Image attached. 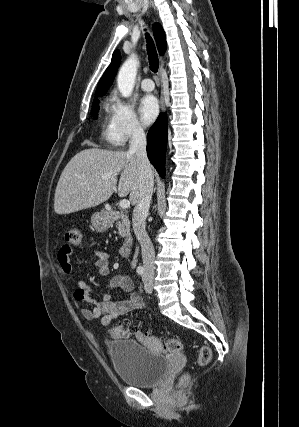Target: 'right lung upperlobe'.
<instances>
[{
    "label": "right lung upper lobe",
    "instance_id": "1",
    "mask_svg": "<svg viewBox=\"0 0 299 427\" xmlns=\"http://www.w3.org/2000/svg\"><path fill=\"white\" fill-rule=\"evenodd\" d=\"M153 29H154V37L158 46L159 53L163 55L164 52L166 51V46H167L164 30L161 27V25L158 23L154 24ZM120 62H121L120 52L116 50L112 55L111 64L108 66V68L106 69V71L104 72L102 78L98 83V87L95 93V98L102 96L107 92L108 88L113 83V80L116 75L117 69L120 65Z\"/></svg>",
    "mask_w": 299,
    "mask_h": 427
}]
</instances>
